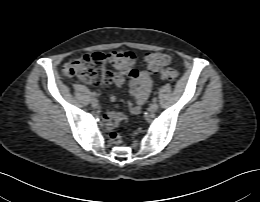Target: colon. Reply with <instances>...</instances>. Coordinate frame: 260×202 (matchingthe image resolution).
Here are the masks:
<instances>
[{"instance_id":"obj_1","label":"colon","mask_w":260,"mask_h":202,"mask_svg":"<svg viewBox=\"0 0 260 202\" xmlns=\"http://www.w3.org/2000/svg\"><path fill=\"white\" fill-rule=\"evenodd\" d=\"M172 61L169 54L152 52L146 57L148 69L158 72L160 78L166 81H173L177 78L176 70L167 67ZM134 62L132 52L117 50L109 54L93 53L72 59L64 64L62 73L67 78H74L91 85H102L111 83L116 75L109 69L111 63L119 74H127ZM110 139L115 144H121L122 140L117 133H111Z\"/></svg>"}]
</instances>
